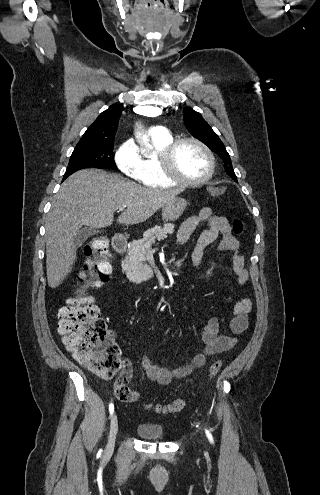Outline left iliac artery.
I'll use <instances>...</instances> for the list:
<instances>
[{"instance_id": "obj_1", "label": "left iliac artery", "mask_w": 320, "mask_h": 495, "mask_svg": "<svg viewBox=\"0 0 320 495\" xmlns=\"http://www.w3.org/2000/svg\"><path fill=\"white\" fill-rule=\"evenodd\" d=\"M205 433H206V436L209 439V441L211 443H213L214 441H213V437H212L211 433L207 429H205Z\"/></svg>"}]
</instances>
